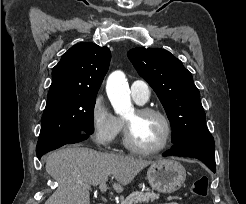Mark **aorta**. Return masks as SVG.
Returning a JSON list of instances; mask_svg holds the SVG:
<instances>
[{"mask_svg":"<svg viewBox=\"0 0 246 204\" xmlns=\"http://www.w3.org/2000/svg\"><path fill=\"white\" fill-rule=\"evenodd\" d=\"M106 91L116 114L123 117L134 114L129 86L123 72L116 71L108 77Z\"/></svg>","mask_w":246,"mask_h":204,"instance_id":"aorta-1","label":"aorta"}]
</instances>
